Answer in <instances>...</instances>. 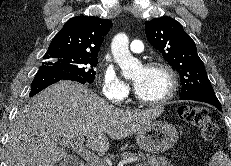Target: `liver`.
Returning <instances> with one entry per match:
<instances>
[{"instance_id":"obj_1","label":"liver","mask_w":231,"mask_h":166,"mask_svg":"<svg viewBox=\"0 0 231 166\" xmlns=\"http://www.w3.org/2000/svg\"><path fill=\"white\" fill-rule=\"evenodd\" d=\"M163 110L119 109L85 85L60 81L29 99L16 115L6 145L7 166H53L66 158L59 140L68 138L85 136L88 148L106 152V135L115 140L129 137Z\"/></svg>"}]
</instances>
